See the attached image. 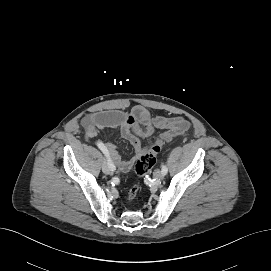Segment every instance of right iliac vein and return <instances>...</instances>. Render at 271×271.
<instances>
[{"mask_svg": "<svg viewBox=\"0 0 271 271\" xmlns=\"http://www.w3.org/2000/svg\"><path fill=\"white\" fill-rule=\"evenodd\" d=\"M102 170L105 174H112V170L111 168L109 167V165L107 163H104L103 166H102Z\"/></svg>", "mask_w": 271, "mask_h": 271, "instance_id": "1", "label": "right iliac vein"}]
</instances>
